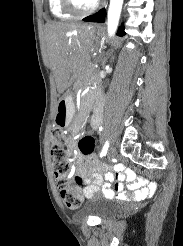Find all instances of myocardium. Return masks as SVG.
I'll list each match as a JSON object with an SVG mask.
<instances>
[{"mask_svg":"<svg viewBox=\"0 0 183 246\" xmlns=\"http://www.w3.org/2000/svg\"><path fill=\"white\" fill-rule=\"evenodd\" d=\"M62 5L68 13L81 17L93 13L99 7V0L94 1L87 8L79 7L75 0H62Z\"/></svg>","mask_w":183,"mask_h":246,"instance_id":"1","label":"myocardium"}]
</instances>
